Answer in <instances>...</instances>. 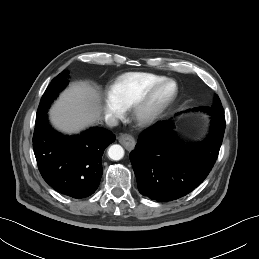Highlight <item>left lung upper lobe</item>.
Returning <instances> with one entry per match:
<instances>
[{
	"instance_id": "5c2ea615",
	"label": "left lung upper lobe",
	"mask_w": 259,
	"mask_h": 259,
	"mask_svg": "<svg viewBox=\"0 0 259 259\" xmlns=\"http://www.w3.org/2000/svg\"><path fill=\"white\" fill-rule=\"evenodd\" d=\"M199 110H204L212 115H224L223 107L219 97L215 96V102L212 107H199Z\"/></svg>"
}]
</instances>
